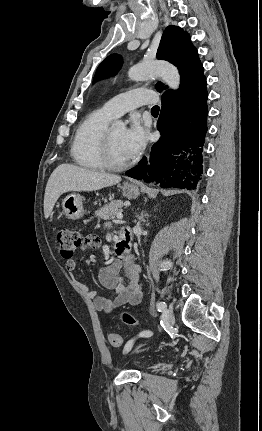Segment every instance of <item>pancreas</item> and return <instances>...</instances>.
I'll use <instances>...</instances> for the list:
<instances>
[{
  "instance_id": "obj_1",
  "label": "pancreas",
  "mask_w": 262,
  "mask_h": 431,
  "mask_svg": "<svg viewBox=\"0 0 262 431\" xmlns=\"http://www.w3.org/2000/svg\"><path fill=\"white\" fill-rule=\"evenodd\" d=\"M123 201L117 200L112 201L109 204L104 205L95 212V216L105 220L114 219L117 213L121 211Z\"/></svg>"
}]
</instances>
